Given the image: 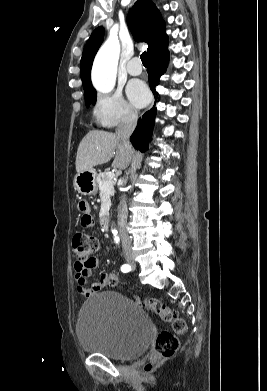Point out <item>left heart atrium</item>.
Returning <instances> with one entry per match:
<instances>
[{
    "instance_id": "obj_1",
    "label": "left heart atrium",
    "mask_w": 267,
    "mask_h": 391,
    "mask_svg": "<svg viewBox=\"0 0 267 391\" xmlns=\"http://www.w3.org/2000/svg\"><path fill=\"white\" fill-rule=\"evenodd\" d=\"M127 95L130 101L137 107L144 106L149 99L148 89L140 80H132L128 84Z\"/></svg>"
}]
</instances>
